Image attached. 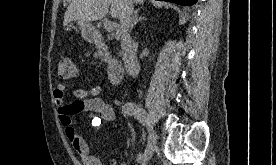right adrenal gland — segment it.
Returning <instances> with one entry per match:
<instances>
[{"instance_id":"1","label":"right adrenal gland","mask_w":276,"mask_h":165,"mask_svg":"<svg viewBox=\"0 0 276 165\" xmlns=\"http://www.w3.org/2000/svg\"><path fill=\"white\" fill-rule=\"evenodd\" d=\"M139 11L140 8L134 11V14L132 15L131 29H133L134 25H136L138 22H141L146 19L143 15L139 16Z\"/></svg>"}]
</instances>
